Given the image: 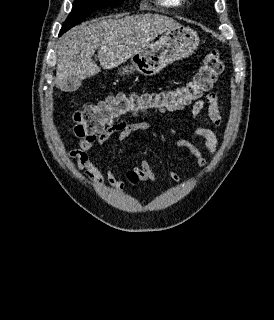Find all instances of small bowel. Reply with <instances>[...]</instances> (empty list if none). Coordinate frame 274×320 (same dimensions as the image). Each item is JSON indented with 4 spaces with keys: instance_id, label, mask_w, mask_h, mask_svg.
Instances as JSON below:
<instances>
[{
    "instance_id": "small-bowel-1",
    "label": "small bowel",
    "mask_w": 274,
    "mask_h": 320,
    "mask_svg": "<svg viewBox=\"0 0 274 320\" xmlns=\"http://www.w3.org/2000/svg\"><path fill=\"white\" fill-rule=\"evenodd\" d=\"M206 109L207 116L211 123L216 127L221 126L223 118L219 109L218 97L215 93H209L204 98L196 100L191 107L192 118L196 124L194 134L202 141L203 146L210 156H214L218 148V138L215 132L208 126L201 123V115ZM153 126L149 123L135 122L127 123L120 122L114 127L106 128L98 133L87 135L78 141L77 147L70 151L69 156L76 160L77 169L82 171L85 176L91 181L104 185L107 182L110 186L117 190H123L125 184L119 180L113 170L105 165L103 172L99 169L93 160V151L96 150L99 154H103L105 143L117 133V147L115 153L116 163L129 171H134L142 180L150 182L157 186L162 192H167L158 181V178L153 171L150 163L146 160L140 162L137 166H124L122 163L123 145L125 140L137 131L152 130ZM177 147L187 149L190 154L196 158L199 168L204 169L207 166V160L203 157L201 150L194 143L186 139H178L174 143ZM170 179L176 183H182L183 178L175 171L167 170Z\"/></svg>"
}]
</instances>
